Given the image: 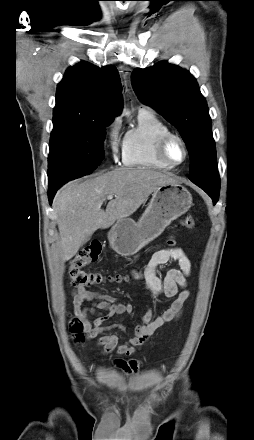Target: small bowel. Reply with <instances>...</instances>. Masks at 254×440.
<instances>
[{"instance_id": "1", "label": "small bowel", "mask_w": 254, "mask_h": 440, "mask_svg": "<svg viewBox=\"0 0 254 440\" xmlns=\"http://www.w3.org/2000/svg\"><path fill=\"white\" fill-rule=\"evenodd\" d=\"M172 260L178 263L179 268L170 269L164 277H160L157 268ZM190 271V261L180 247L160 249L153 253L144 269L132 270L133 279L141 281L152 298L164 295L175 299L170 307L156 318H153V311L148 309L142 316L141 322L134 326L133 335L124 343L119 344L118 337L110 331L114 329L125 331L126 326L121 323L109 324L108 322L115 316L132 313L134 307L131 304L120 303L114 296L95 293L86 287H76L72 291L74 310L83 321L88 338H98L96 346L101 348L103 355L113 352L118 355H131L135 352V347L143 345L159 328L180 317L189 297V291L184 288L187 285ZM84 303L90 305L84 306ZM90 315L95 317L92 324L89 321ZM116 363L126 372L137 371L139 367L137 361L117 360ZM128 364H134L136 368L132 370Z\"/></svg>"}]
</instances>
